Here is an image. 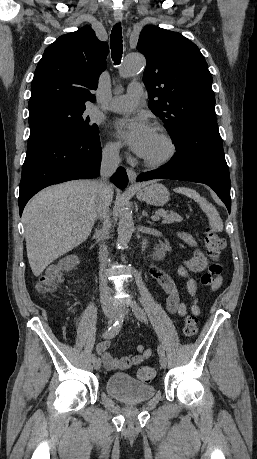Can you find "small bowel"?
<instances>
[{
    "mask_svg": "<svg viewBox=\"0 0 257 459\" xmlns=\"http://www.w3.org/2000/svg\"><path fill=\"white\" fill-rule=\"evenodd\" d=\"M179 238L188 246L196 248L197 243L195 239L187 232H179ZM208 261L206 256L199 250H195L194 256L185 261L178 267V274L180 277L186 280V289L189 295L193 298L191 305V312L194 315H200L201 310L198 305L197 293V282L192 278V274L199 273L207 267ZM150 275L157 280L161 289L166 295V308L169 313L185 316L187 314V306L181 301L178 290L172 278L163 270L152 267L149 270ZM222 285V278L217 277L211 286L212 291H216ZM110 341L105 340L98 344L97 352L101 355L105 368L108 371H114L118 369H128L132 366L141 364L144 360L151 356V349L144 345H138L136 350L138 354L125 356L120 359H115L108 352L110 347Z\"/></svg>",
    "mask_w": 257,
    "mask_h": 459,
    "instance_id": "small-bowel-1",
    "label": "small bowel"
}]
</instances>
